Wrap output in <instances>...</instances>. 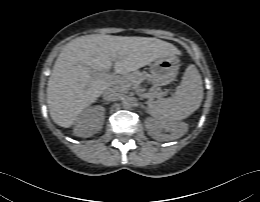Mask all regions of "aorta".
<instances>
[{
  "label": "aorta",
  "mask_w": 260,
  "mask_h": 202,
  "mask_svg": "<svg viewBox=\"0 0 260 202\" xmlns=\"http://www.w3.org/2000/svg\"><path fill=\"white\" fill-rule=\"evenodd\" d=\"M132 105H133V102H132V99H131V98H125V99H123V101H122V106H123L125 109L131 108Z\"/></svg>",
  "instance_id": "762f6f07"
}]
</instances>
